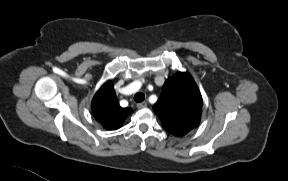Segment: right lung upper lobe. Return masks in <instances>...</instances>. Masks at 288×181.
Returning <instances> with one entry per match:
<instances>
[{"label":"right lung upper lobe","instance_id":"1","mask_svg":"<svg viewBox=\"0 0 288 181\" xmlns=\"http://www.w3.org/2000/svg\"><path fill=\"white\" fill-rule=\"evenodd\" d=\"M92 112L104 128L116 130L133 110L120 107L112 82L109 80L95 94L92 100Z\"/></svg>","mask_w":288,"mask_h":181}]
</instances>
